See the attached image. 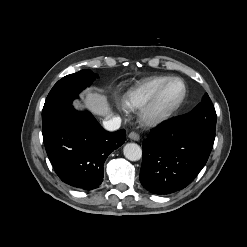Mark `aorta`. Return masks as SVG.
<instances>
[{
    "instance_id": "aorta-1",
    "label": "aorta",
    "mask_w": 247,
    "mask_h": 247,
    "mask_svg": "<svg viewBox=\"0 0 247 247\" xmlns=\"http://www.w3.org/2000/svg\"><path fill=\"white\" fill-rule=\"evenodd\" d=\"M123 153L130 161H138L142 158V149L136 143H127L123 148Z\"/></svg>"
}]
</instances>
